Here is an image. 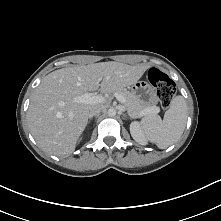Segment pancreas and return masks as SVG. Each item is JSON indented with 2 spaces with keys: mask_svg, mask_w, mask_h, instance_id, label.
Segmentation results:
<instances>
[{
  "mask_svg": "<svg viewBox=\"0 0 221 221\" xmlns=\"http://www.w3.org/2000/svg\"><path fill=\"white\" fill-rule=\"evenodd\" d=\"M108 93L109 94H111V93L112 94L118 93V94L122 95L125 98L124 105H125V107L127 109L128 114L132 118H138V117L142 116V112L146 108H150V106L142 105L135 95H133L130 91H128V90H126L124 88H115V89L111 90ZM153 107H156V106H153ZM158 112L159 111H156L153 114H156Z\"/></svg>",
  "mask_w": 221,
  "mask_h": 221,
  "instance_id": "pancreas-1",
  "label": "pancreas"
}]
</instances>
